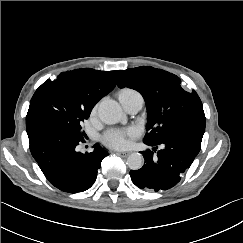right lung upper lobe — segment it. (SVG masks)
Wrapping results in <instances>:
<instances>
[{
  "mask_svg": "<svg viewBox=\"0 0 243 243\" xmlns=\"http://www.w3.org/2000/svg\"><path fill=\"white\" fill-rule=\"evenodd\" d=\"M121 70L99 71L91 68L76 69L61 73L52 84L59 87L64 94L91 109L116 86Z\"/></svg>",
  "mask_w": 243,
  "mask_h": 243,
  "instance_id": "right-lung-upper-lobe-1",
  "label": "right lung upper lobe"
}]
</instances>
